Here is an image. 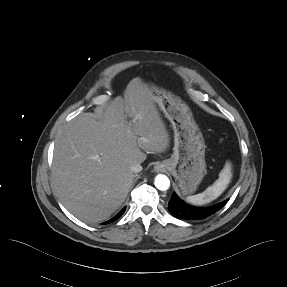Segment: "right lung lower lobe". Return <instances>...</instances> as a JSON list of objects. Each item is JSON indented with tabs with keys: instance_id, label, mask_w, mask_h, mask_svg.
<instances>
[{
	"instance_id": "1",
	"label": "right lung lower lobe",
	"mask_w": 287,
	"mask_h": 287,
	"mask_svg": "<svg viewBox=\"0 0 287 287\" xmlns=\"http://www.w3.org/2000/svg\"><path fill=\"white\" fill-rule=\"evenodd\" d=\"M125 209H126V207H124V208H123L115 217H113L111 220L105 222V224L111 223V222L116 221L117 219H119V218L122 216V214L124 213Z\"/></svg>"
}]
</instances>
